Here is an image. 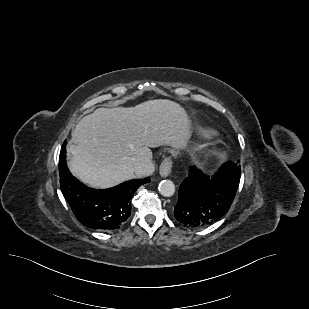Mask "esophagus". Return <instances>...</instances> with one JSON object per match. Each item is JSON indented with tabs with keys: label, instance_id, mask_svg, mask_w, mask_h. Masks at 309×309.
Masks as SVG:
<instances>
[{
	"label": "esophagus",
	"instance_id": "obj_1",
	"mask_svg": "<svg viewBox=\"0 0 309 309\" xmlns=\"http://www.w3.org/2000/svg\"><path fill=\"white\" fill-rule=\"evenodd\" d=\"M171 169H172V160L170 157H166L160 165L159 173L162 177H167L169 176Z\"/></svg>",
	"mask_w": 309,
	"mask_h": 309
}]
</instances>
